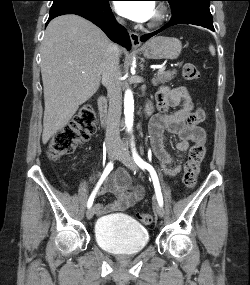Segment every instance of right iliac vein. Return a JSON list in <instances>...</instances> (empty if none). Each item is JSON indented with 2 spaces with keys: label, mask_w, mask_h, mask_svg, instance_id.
<instances>
[{
  "label": "right iliac vein",
  "mask_w": 250,
  "mask_h": 285,
  "mask_svg": "<svg viewBox=\"0 0 250 285\" xmlns=\"http://www.w3.org/2000/svg\"><path fill=\"white\" fill-rule=\"evenodd\" d=\"M116 153H117V149L115 147H109L107 149L108 158L110 160L114 159ZM94 213H95L94 207H90L86 213L87 219L90 220L93 217Z\"/></svg>",
  "instance_id": "1"
}]
</instances>
